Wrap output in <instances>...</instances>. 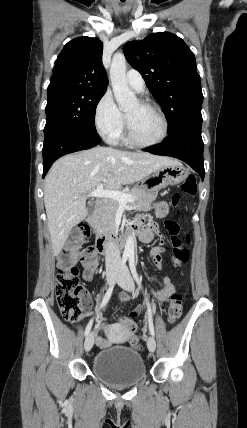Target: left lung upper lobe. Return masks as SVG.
Returning a JSON list of instances; mask_svg holds the SVG:
<instances>
[{
	"label": "left lung upper lobe",
	"instance_id": "left-lung-upper-lobe-1",
	"mask_svg": "<svg viewBox=\"0 0 247 428\" xmlns=\"http://www.w3.org/2000/svg\"><path fill=\"white\" fill-rule=\"evenodd\" d=\"M124 54L164 111L170 135L201 126L200 76L194 54L181 38L169 32L151 34L127 43Z\"/></svg>",
	"mask_w": 247,
	"mask_h": 428
}]
</instances>
